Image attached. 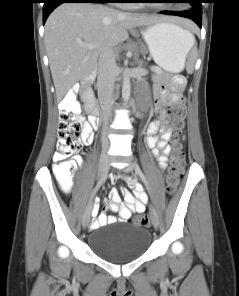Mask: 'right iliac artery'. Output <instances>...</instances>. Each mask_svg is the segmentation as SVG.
I'll return each instance as SVG.
<instances>
[{
    "mask_svg": "<svg viewBox=\"0 0 239 296\" xmlns=\"http://www.w3.org/2000/svg\"><path fill=\"white\" fill-rule=\"evenodd\" d=\"M107 178V173L98 181L97 185L95 186L92 196H88V200L87 203H92V197L94 198L96 195L95 193L98 191V189L100 188V186L106 181Z\"/></svg>",
    "mask_w": 239,
    "mask_h": 296,
    "instance_id": "1",
    "label": "right iliac artery"
}]
</instances>
